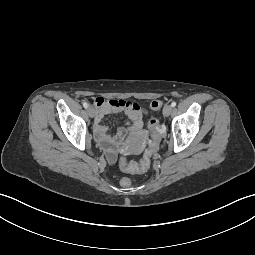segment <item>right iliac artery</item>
I'll return each instance as SVG.
<instances>
[{
	"instance_id": "right-iliac-artery-1",
	"label": "right iliac artery",
	"mask_w": 255,
	"mask_h": 255,
	"mask_svg": "<svg viewBox=\"0 0 255 255\" xmlns=\"http://www.w3.org/2000/svg\"><path fill=\"white\" fill-rule=\"evenodd\" d=\"M84 108H88V104L86 102H83Z\"/></svg>"
}]
</instances>
